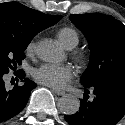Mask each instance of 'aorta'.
I'll return each mask as SVG.
<instances>
[{
    "mask_svg": "<svg viewBox=\"0 0 125 125\" xmlns=\"http://www.w3.org/2000/svg\"><path fill=\"white\" fill-rule=\"evenodd\" d=\"M38 57L46 62H58L62 59L61 49L52 40H43L37 44ZM59 110L66 115H72L79 110L80 102L73 95H64L58 101Z\"/></svg>",
    "mask_w": 125,
    "mask_h": 125,
    "instance_id": "1",
    "label": "aorta"
}]
</instances>
